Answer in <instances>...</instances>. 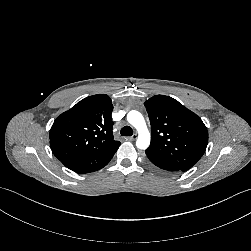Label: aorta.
Returning <instances> with one entry per match:
<instances>
[{"instance_id":"762f6f07","label":"aorta","mask_w":251,"mask_h":251,"mask_svg":"<svg viewBox=\"0 0 251 251\" xmlns=\"http://www.w3.org/2000/svg\"><path fill=\"white\" fill-rule=\"evenodd\" d=\"M127 120L138 131L137 148L142 150L148 148L150 144V133L142 114L136 110H132L127 114Z\"/></svg>"}]
</instances>
